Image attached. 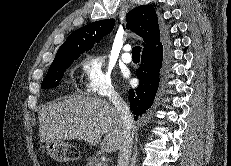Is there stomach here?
<instances>
[{
	"mask_svg": "<svg viewBox=\"0 0 231 166\" xmlns=\"http://www.w3.org/2000/svg\"><path fill=\"white\" fill-rule=\"evenodd\" d=\"M46 148L50 156L59 162L77 160L80 157V151L62 139L46 141Z\"/></svg>",
	"mask_w": 231,
	"mask_h": 166,
	"instance_id": "stomach-1",
	"label": "stomach"
}]
</instances>
